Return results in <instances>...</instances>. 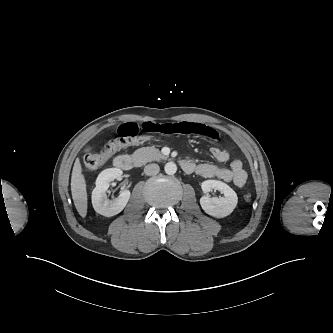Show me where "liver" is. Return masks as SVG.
I'll use <instances>...</instances> for the list:
<instances>
[{"label":"liver","instance_id":"liver-1","mask_svg":"<svg viewBox=\"0 0 333 333\" xmlns=\"http://www.w3.org/2000/svg\"><path fill=\"white\" fill-rule=\"evenodd\" d=\"M71 192L74 205L81 217H86L88 208V198L86 190V181L82 174V167L79 158L76 159L72 176H71Z\"/></svg>","mask_w":333,"mask_h":333}]
</instances>
